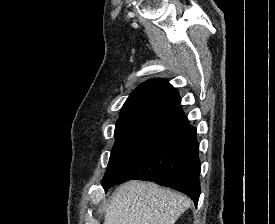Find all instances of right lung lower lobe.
I'll list each match as a JSON object with an SVG mask.
<instances>
[{
  "label": "right lung lower lobe",
  "instance_id": "right-lung-lower-lobe-1",
  "mask_svg": "<svg viewBox=\"0 0 275 224\" xmlns=\"http://www.w3.org/2000/svg\"><path fill=\"white\" fill-rule=\"evenodd\" d=\"M196 128L180 106L166 112L119 170L102 182L105 189L129 180L152 181L188 195L197 206L200 161Z\"/></svg>",
  "mask_w": 275,
  "mask_h": 224
}]
</instances>
